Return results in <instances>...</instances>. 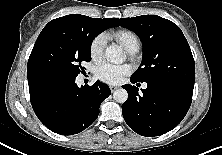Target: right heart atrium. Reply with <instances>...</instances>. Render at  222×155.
Wrapping results in <instances>:
<instances>
[{"mask_svg":"<svg viewBox=\"0 0 222 155\" xmlns=\"http://www.w3.org/2000/svg\"><path fill=\"white\" fill-rule=\"evenodd\" d=\"M106 45V39L103 34L97 35L90 45V56L92 60L99 61L103 55V51Z\"/></svg>","mask_w":222,"mask_h":155,"instance_id":"obj_1","label":"right heart atrium"}]
</instances>
